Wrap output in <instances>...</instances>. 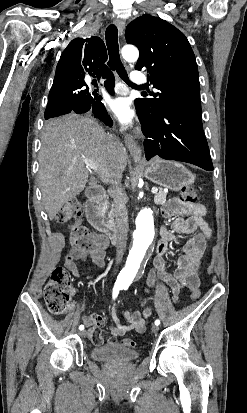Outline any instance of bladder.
I'll use <instances>...</instances> for the list:
<instances>
[{
    "label": "bladder",
    "instance_id": "1",
    "mask_svg": "<svg viewBox=\"0 0 247 413\" xmlns=\"http://www.w3.org/2000/svg\"><path fill=\"white\" fill-rule=\"evenodd\" d=\"M91 356L96 362L129 364L138 357V352L121 344H107L91 350Z\"/></svg>",
    "mask_w": 247,
    "mask_h": 413
}]
</instances>
